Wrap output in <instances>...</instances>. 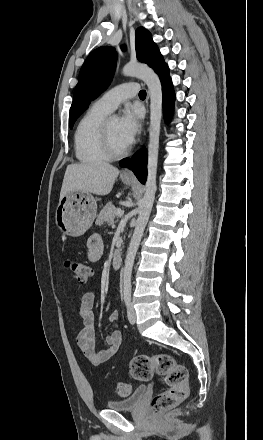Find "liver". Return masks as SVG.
<instances>
[{"label": "liver", "instance_id": "1", "mask_svg": "<svg viewBox=\"0 0 263 440\" xmlns=\"http://www.w3.org/2000/svg\"><path fill=\"white\" fill-rule=\"evenodd\" d=\"M118 175L119 170L105 162L70 164L65 171L60 198L71 191L107 195Z\"/></svg>", "mask_w": 263, "mask_h": 440}]
</instances>
